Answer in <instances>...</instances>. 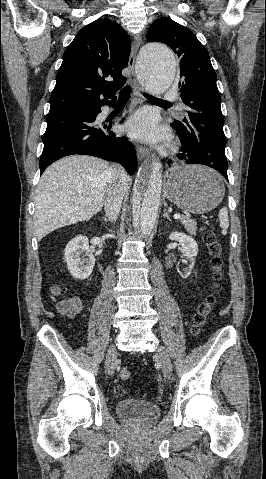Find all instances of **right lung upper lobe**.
<instances>
[{
  "label": "right lung upper lobe",
  "mask_w": 266,
  "mask_h": 479,
  "mask_svg": "<svg viewBox=\"0 0 266 479\" xmlns=\"http://www.w3.org/2000/svg\"><path fill=\"white\" fill-rule=\"evenodd\" d=\"M130 44L125 31L110 19H98L82 28L63 54L50 110L114 100V93L126 83L122 70L128 64Z\"/></svg>",
  "instance_id": "right-lung-upper-lobe-1"
}]
</instances>
